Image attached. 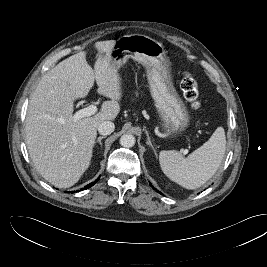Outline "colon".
<instances>
[{"label":"colon","instance_id":"1","mask_svg":"<svg viewBox=\"0 0 267 267\" xmlns=\"http://www.w3.org/2000/svg\"><path fill=\"white\" fill-rule=\"evenodd\" d=\"M184 98L189 102L193 109L200 107L199 88L192 74L187 73L181 80L180 84Z\"/></svg>","mask_w":267,"mask_h":267}]
</instances>
